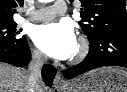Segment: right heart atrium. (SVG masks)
Returning <instances> with one entry per match:
<instances>
[{
  "mask_svg": "<svg viewBox=\"0 0 127 92\" xmlns=\"http://www.w3.org/2000/svg\"><path fill=\"white\" fill-rule=\"evenodd\" d=\"M31 55H32L33 60L36 62L44 61V55L41 53L40 50H38L36 48L32 50Z\"/></svg>",
  "mask_w": 127,
  "mask_h": 92,
  "instance_id": "d8ad5b80",
  "label": "right heart atrium"
}]
</instances>
